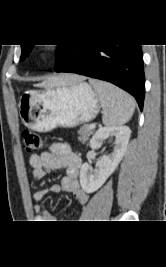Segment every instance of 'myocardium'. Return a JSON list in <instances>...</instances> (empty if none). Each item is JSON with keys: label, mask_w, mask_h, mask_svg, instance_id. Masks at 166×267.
I'll use <instances>...</instances> for the list:
<instances>
[{"label": "myocardium", "mask_w": 166, "mask_h": 267, "mask_svg": "<svg viewBox=\"0 0 166 267\" xmlns=\"http://www.w3.org/2000/svg\"><path fill=\"white\" fill-rule=\"evenodd\" d=\"M33 56L36 62L46 63L55 56V48L54 46H37Z\"/></svg>", "instance_id": "1"}]
</instances>
